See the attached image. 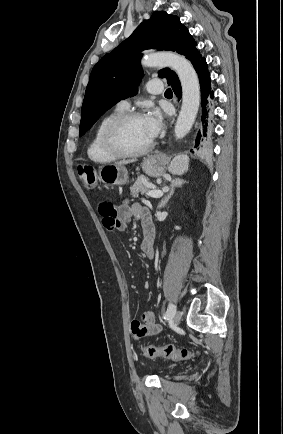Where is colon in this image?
Instances as JSON below:
<instances>
[{"mask_svg":"<svg viewBox=\"0 0 283 434\" xmlns=\"http://www.w3.org/2000/svg\"><path fill=\"white\" fill-rule=\"evenodd\" d=\"M82 183L88 189H94L97 186V175L95 170L89 166H82L78 170ZM142 353L148 358L158 356L165 357L174 361H185L193 358L196 354L187 349H177L173 345L156 347L152 345L140 347Z\"/></svg>","mask_w":283,"mask_h":434,"instance_id":"5ec220e1","label":"colon"}]
</instances>
